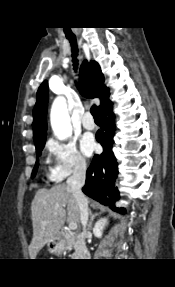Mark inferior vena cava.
Here are the masks:
<instances>
[{"mask_svg": "<svg viewBox=\"0 0 175 287\" xmlns=\"http://www.w3.org/2000/svg\"><path fill=\"white\" fill-rule=\"evenodd\" d=\"M86 178V163L85 161H79L73 171L72 176L67 179V186L75 198L79 211L80 221L83 225V230H86L88 222V200L82 192V187L85 184Z\"/></svg>", "mask_w": 175, "mask_h": 287, "instance_id": "602c4592", "label": "inferior vena cava"}]
</instances>
